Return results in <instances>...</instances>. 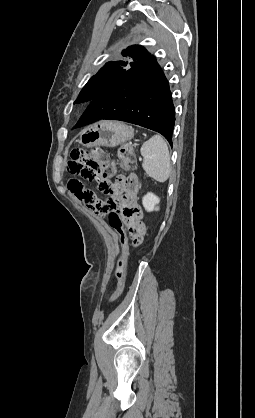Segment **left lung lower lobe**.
Segmentation results:
<instances>
[{
  "mask_svg": "<svg viewBox=\"0 0 255 418\" xmlns=\"http://www.w3.org/2000/svg\"><path fill=\"white\" fill-rule=\"evenodd\" d=\"M107 119L154 130L172 145L175 121L172 93L153 55L129 68L93 99L74 128Z\"/></svg>",
  "mask_w": 255,
  "mask_h": 418,
  "instance_id": "0a47b994",
  "label": "left lung lower lobe"
}]
</instances>
